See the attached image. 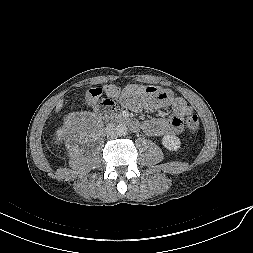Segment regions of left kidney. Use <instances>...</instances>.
<instances>
[{
    "instance_id": "left-kidney-1",
    "label": "left kidney",
    "mask_w": 253,
    "mask_h": 253,
    "mask_svg": "<svg viewBox=\"0 0 253 253\" xmlns=\"http://www.w3.org/2000/svg\"><path fill=\"white\" fill-rule=\"evenodd\" d=\"M162 144L170 151H177L180 148L181 142L177 136L166 135L162 138Z\"/></svg>"
}]
</instances>
